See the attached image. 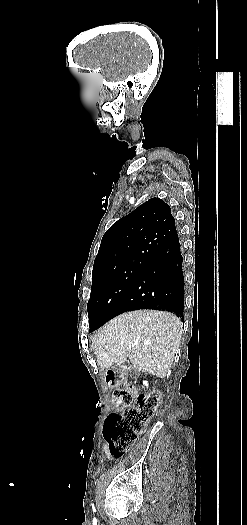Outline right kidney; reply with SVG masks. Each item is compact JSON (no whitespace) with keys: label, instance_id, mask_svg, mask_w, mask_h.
Listing matches in <instances>:
<instances>
[{"label":"right kidney","instance_id":"1","mask_svg":"<svg viewBox=\"0 0 247 525\" xmlns=\"http://www.w3.org/2000/svg\"><path fill=\"white\" fill-rule=\"evenodd\" d=\"M143 385H144V387H149L148 381H143Z\"/></svg>","mask_w":247,"mask_h":525}]
</instances>
